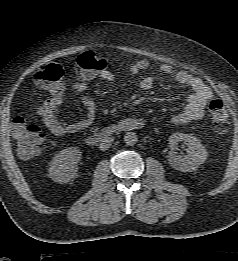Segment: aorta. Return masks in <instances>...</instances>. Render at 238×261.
I'll use <instances>...</instances> for the list:
<instances>
[{
    "label": "aorta",
    "mask_w": 238,
    "mask_h": 261,
    "mask_svg": "<svg viewBox=\"0 0 238 261\" xmlns=\"http://www.w3.org/2000/svg\"><path fill=\"white\" fill-rule=\"evenodd\" d=\"M138 136L134 132H127L124 136V142L128 146H133L137 143Z\"/></svg>",
    "instance_id": "1"
}]
</instances>
